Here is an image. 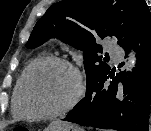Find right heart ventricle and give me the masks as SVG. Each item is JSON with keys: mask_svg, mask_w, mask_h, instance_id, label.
<instances>
[{"mask_svg": "<svg viewBox=\"0 0 151 131\" xmlns=\"http://www.w3.org/2000/svg\"><path fill=\"white\" fill-rule=\"evenodd\" d=\"M30 65V64H29ZM28 65V66H29ZM28 66L26 67V69L28 68ZM26 69L22 72V74L20 75L19 79L17 80V83L15 85L13 94H12V99H11V112L12 115L16 118H21L24 115L20 112L19 108H18V104H17V99H18V94H19V89H20V84L22 81V77L26 71Z\"/></svg>", "mask_w": 151, "mask_h": 131, "instance_id": "1", "label": "right heart ventricle"}]
</instances>
